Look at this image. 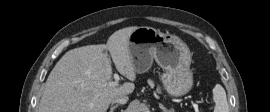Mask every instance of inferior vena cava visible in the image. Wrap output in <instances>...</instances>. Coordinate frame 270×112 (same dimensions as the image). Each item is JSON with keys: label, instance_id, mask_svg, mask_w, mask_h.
I'll list each match as a JSON object with an SVG mask.
<instances>
[{"label": "inferior vena cava", "instance_id": "1", "mask_svg": "<svg viewBox=\"0 0 270 112\" xmlns=\"http://www.w3.org/2000/svg\"><path fill=\"white\" fill-rule=\"evenodd\" d=\"M128 101V97L127 96H116L114 97L111 102L114 104V103H117V104H125L127 103Z\"/></svg>", "mask_w": 270, "mask_h": 112}]
</instances>
